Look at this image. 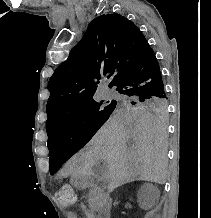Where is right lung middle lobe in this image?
I'll list each match as a JSON object with an SVG mask.
<instances>
[{
	"label": "right lung middle lobe",
	"mask_w": 211,
	"mask_h": 218,
	"mask_svg": "<svg viewBox=\"0 0 211 218\" xmlns=\"http://www.w3.org/2000/svg\"><path fill=\"white\" fill-rule=\"evenodd\" d=\"M103 102H97L93 99L59 118L55 125L47 130L48 148L50 150L52 148H66L74 154L107 121L116 106L132 107L134 105H144L159 111L167 109L166 98L124 97L117 101H108L106 106H102ZM84 121L85 123L83 124ZM64 162L50 157V174L56 173Z\"/></svg>",
	"instance_id": "right-lung-middle-lobe-1"
}]
</instances>
